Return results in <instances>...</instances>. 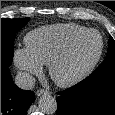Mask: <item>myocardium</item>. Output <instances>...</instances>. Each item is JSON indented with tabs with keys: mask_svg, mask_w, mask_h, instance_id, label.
<instances>
[{
	"mask_svg": "<svg viewBox=\"0 0 115 115\" xmlns=\"http://www.w3.org/2000/svg\"><path fill=\"white\" fill-rule=\"evenodd\" d=\"M95 33L99 37V49L94 58L75 72L62 75L60 68L63 67L70 59L75 46L85 36ZM104 51V40L101 33L96 29H86L85 31L74 36L65 47L49 62L48 70L51 79L61 87H71L85 79L97 66Z\"/></svg>",
	"mask_w": 115,
	"mask_h": 115,
	"instance_id": "myocardium-1",
	"label": "myocardium"
}]
</instances>
